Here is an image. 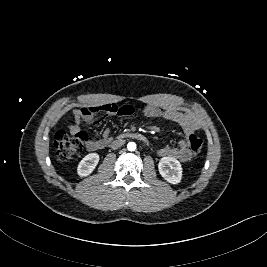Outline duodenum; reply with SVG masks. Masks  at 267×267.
<instances>
[{
  "label": "duodenum",
  "instance_id": "410a0bca",
  "mask_svg": "<svg viewBox=\"0 0 267 267\" xmlns=\"http://www.w3.org/2000/svg\"><path fill=\"white\" fill-rule=\"evenodd\" d=\"M125 139H135L143 143L148 142V138L144 134L139 133V132H130V133H125L123 135H120L119 137H117L116 142L118 143Z\"/></svg>",
  "mask_w": 267,
  "mask_h": 267
}]
</instances>
